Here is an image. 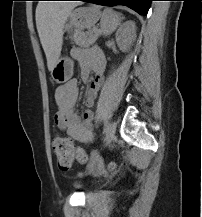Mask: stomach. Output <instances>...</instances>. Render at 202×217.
Instances as JSON below:
<instances>
[{
	"mask_svg": "<svg viewBox=\"0 0 202 217\" xmlns=\"http://www.w3.org/2000/svg\"><path fill=\"white\" fill-rule=\"evenodd\" d=\"M100 16V11L96 7H79L71 13L65 29H90L97 23ZM72 75V61L67 57H60L51 71L53 80L57 83H64L71 79Z\"/></svg>",
	"mask_w": 202,
	"mask_h": 217,
	"instance_id": "0dacf381",
	"label": "stomach"
}]
</instances>
